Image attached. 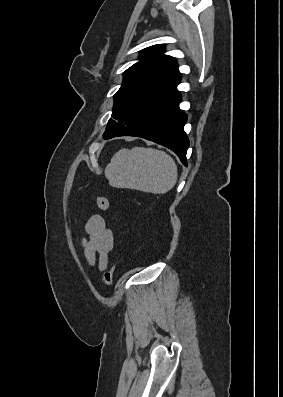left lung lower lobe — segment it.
I'll list each match as a JSON object with an SVG mask.
<instances>
[{"mask_svg":"<svg viewBox=\"0 0 283 397\" xmlns=\"http://www.w3.org/2000/svg\"><path fill=\"white\" fill-rule=\"evenodd\" d=\"M179 92L159 102L115 136H137L161 144L186 163L189 139L184 132L187 115L179 109ZM113 136V137H115Z\"/></svg>","mask_w":283,"mask_h":397,"instance_id":"0a47b994","label":"left lung lower lobe"}]
</instances>
